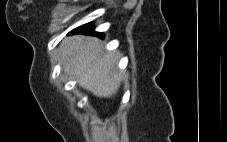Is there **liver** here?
I'll use <instances>...</instances> for the list:
<instances>
[{
	"mask_svg": "<svg viewBox=\"0 0 227 142\" xmlns=\"http://www.w3.org/2000/svg\"><path fill=\"white\" fill-rule=\"evenodd\" d=\"M98 38L75 35L66 38L59 47L63 69L78 79L79 85L97 97L114 96L126 77L117 71L118 54L105 53Z\"/></svg>",
	"mask_w": 227,
	"mask_h": 142,
	"instance_id": "1",
	"label": "liver"
}]
</instances>
